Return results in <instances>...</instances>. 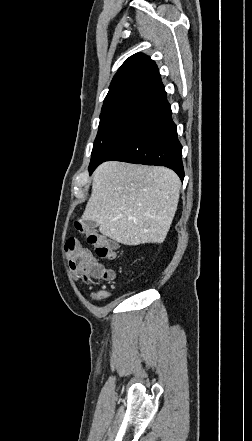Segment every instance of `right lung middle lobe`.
<instances>
[{
    "label": "right lung middle lobe",
    "mask_w": 252,
    "mask_h": 441,
    "mask_svg": "<svg viewBox=\"0 0 252 441\" xmlns=\"http://www.w3.org/2000/svg\"><path fill=\"white\" fill-rule=\"evenodd\" d=\"M146 102V100L133 101L102 110L89 171L105 161L126 138L140 118Z\"/></svg>",
    "instance_id": "1"
}]
</instances>
